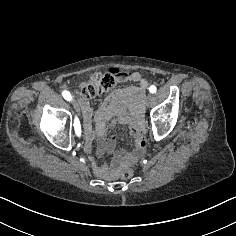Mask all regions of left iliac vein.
<instances>
[{
	"label": "left iliac vein",
	"mask_w": 236,
	"mask_h": 236,
	"mask_svg": "<svg viewBox=\"0 0 236 236\" xmlns=\"http://www.w3.org/2000/svg\"><path fill=\"white\" fill-rule=\"evenodd\" d=\"M150 99H151L150 102L153 104L154 102H156V99H157V98H156V96L153 95V96H151Z\"/></svg>",
	"instance_id": "4c4485c4"
}]
</instances>
